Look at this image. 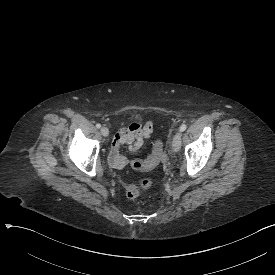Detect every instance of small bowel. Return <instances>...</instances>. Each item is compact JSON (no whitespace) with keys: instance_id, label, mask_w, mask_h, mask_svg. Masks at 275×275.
<instances>
[{"instance_id":"small-bowel-1","label":"small bowel","mask_w":275,"mask_h":275,"mask_svg":"<svg viewBox=\"0 0 275 275\" xmlns=\"http://www.w3.org/2000/svg\"><path fill=\"white\" fill-rule=\"evenodd\" d=\"M156 127L157 122L153 119H148L145 124H134L125 131L117 130L109 153L110 164L117 169L123 168L127 164V159L120 154L121 145L126 142L129 144L131 151L137 150L143 142L149 141L153 129Z\"/></svg>"}]
</instances>
